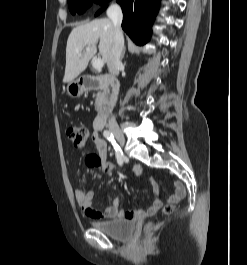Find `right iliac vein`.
<instances>
[{
	"instance_id": "63e3f726",
	"label": "right iliac vein",
	"mask_w": 247,
	"mask_h": 265,
	"mask_svg": "<svg viewBox=\"0 0 247 265\" xmlns=\"http://www.w3.org/2000/svg\"><path fill=\"white\" fill-rule=\"evenodd\" d=\"M110 130L117 139V141L123 146L125 143V138L120 128L117 126H113Z\"/></svg>"
}]
</instances>
